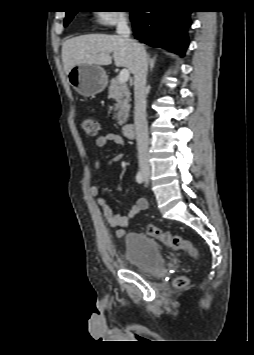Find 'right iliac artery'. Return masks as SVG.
I'll list each match as a JSON object with an SVG mask.
<instances>
[{
    "instance_id": "82829eb1",
    "label": "right iliac artery",
    "mask_w": 254,
    "mask_h": 355,
    "mask_svg": "<svg viewBox=\"0 0 254 355\" xmlns=\"http://www.w3.org/2000/svg\"><path fill=\"white\" fill-rule=\"evenodd\" d=\"M144 178H143V174L141 171H139L136 175V181L141 184L143 182Z\"/></svg>"
}]
</instances>
